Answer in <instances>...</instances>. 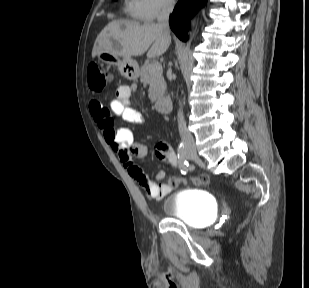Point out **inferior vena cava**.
I'll return each mask as SVG.
<instances>
[{
  "instance_id": "inferior-vena-cava-1",
  "label": "inferior vena cava",
  "mask_w": 309,
  "mask_h": 288,
  "mask_svg": "<svg viewBox=\"0 0 309 288\" xmlns=\"http://www.w3.org/2000/svg\"><path fill=\"white\" fill-rule=\"evenodd\" d=\"M174 5H175L174 0H166L162 8V11L157 17L158 26L161 27L164 33L168 36H170L169 16L173 11ZM178 127L182 142L185 143L186 145L194 144L193 136L186 129V124L184 121V116L181 107L178 111Z\"/></svg>"
}]
</instances>
